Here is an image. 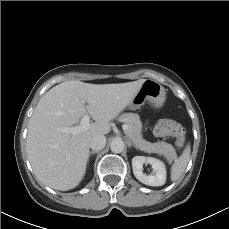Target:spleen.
Listing matches in <instances>:
<instances>
[{"label": "spleen", "mask_w": 229, "mask_h": 229, "mask_svg": "<svg viewBox=\"0 0 229 229\" xmlns=\"http://www.w3.org/2000/svg\"><path fill=\"white\" fill-rule=\"evenodd\" d=\"M191 148L187 145L182 154L177 158L171 167V180H178L185 171L188 161L190 159Z\"/></svg>", "instance_id": "spleen-1"}]
</instances>
